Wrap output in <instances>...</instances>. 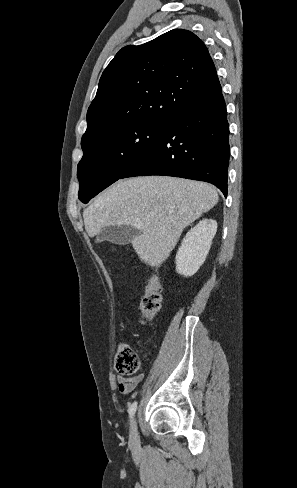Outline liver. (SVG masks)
Returning <instances> with one entry per match:
<instances>
[{
  "mask_svg": "<svg viewBox=\"0 0 297 488\" xmlns=\"http://www.w3.org/2000/svg\"><path fill=\"white\" fill-rule=\"evenodd\" d=\"M217 202L216 189L204 182L166 176L130 178L113 184L84 210V225L90 237L108 226H134L140 230L132 240L137 255L147 265L159 267L184 228ZM150 285L157 288V278Z\"/></svg>",
  "mask_w": 297,
  "mask_h": 488,
  "instance_id": "liver-1",
  "label": "liver"
}]
</instances>
